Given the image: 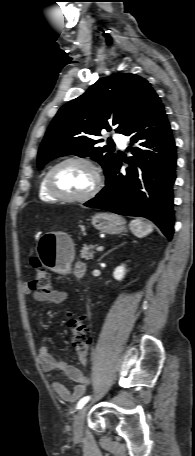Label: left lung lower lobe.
<instances>
[{"label":"left lung lower lobe","mask_w":195,"mask_h":456,"mask_svg":"<svg viewBox=\"0 0 195 456\" xmlns=\"http://www.w3.org/2000/svg\"><path fill=\"white\" fill-rule=\"evenodd\" d=\"M140 146L125 175L121 159L106 176V186L84 205L120 215L152 220L172 239L174 226L172 185L175 181L176 146L164 107L158 96L136 117L125 134Z\"/></svg>","instance_id":"obj_1"}]
</instances>
